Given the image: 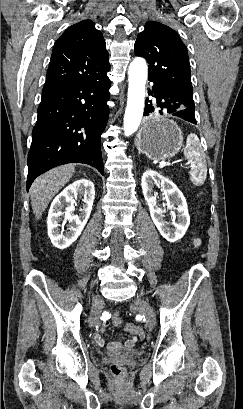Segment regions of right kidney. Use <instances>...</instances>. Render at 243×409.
I'll use <instances>...</instances> for the list:
<instances>
[{
  "instance_id": "ca27d5eb",
  "label": "right kidney",
  "mask_w": 243,
  "mask_h": 409,
  "mask_svg": "<svg viewBox=\"0 0 243 409\" xmlns=\"http://www.w3.org/2000/svg\"><path fill=\"white\" fill-rule=\"evenodd\" d=\"M78 194L83 195V208L79 215H74L72 211ZM94 197V184L86 179L76 180L55 197L51 203L47 218L48 235L55 247L65 249L79 237L89 219ZM65 205V212L63 213L61 210ZM63 214H65L64 222H69V228L65 234H63L64 229L60 230L59 228L61 227L59 223L62 221L61 216Z\"/></svg>"
}]
</instances>
